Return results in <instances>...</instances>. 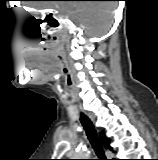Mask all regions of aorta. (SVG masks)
<instances>
[{
	"label": "aorta",
	"instance_id": "1",
	"mask_svg": "<svg viewBox=\"0 0 158 160\" xmlns=\"http://www.w3.org/2000/svg\"><path fill=\"white\" fill-rule=\"evenodd\" d=\"M89 153L86 149L80 148L76 154L74 159H88Z\"/></svg>",
	"mask_w": 158,
	"mask_h": 160
}]
</instances>
